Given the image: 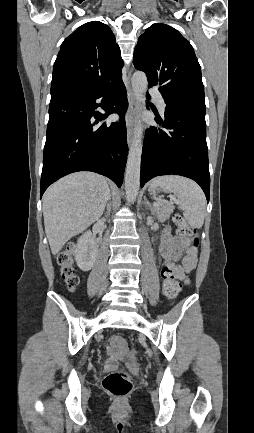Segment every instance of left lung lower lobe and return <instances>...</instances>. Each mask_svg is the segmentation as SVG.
<instances>
[{
    "mask_svg": "<svg viewBox=\"0 0 254 433\" xmlns=\"http://www.w3.org/2000/svg\"><path fill=\"white\" fill-rule=\"evenodd\" d=\"M147 97L150 98L148 93ZM155 121L161 127H150L146 131L141 187L156 176L181 175L196 181L209 201L205 110L189 104H167L164 120L157 116Z\"/></svg>",
    "mask_w": 254,
    "mask_h": 433,
    "instance_id": "0a47b994",
    "label": "left lung lower lobe"
}]
</instances>
